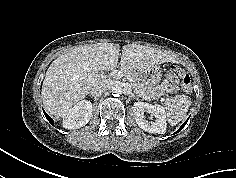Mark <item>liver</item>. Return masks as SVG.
<instances>
[{
    "label": "liver",
    "mask_w": 236,
    "mask_h": 178,
    "mask_svg": "<svg viewBox=\"0 0 236 178\" xmlns=\"http://www.w3.org/2000/svg\"><path fill=\"white\" fill-rule=\"evenodd\" d=\"M119 53L118 44L104 42L76 47L59 56L47 69L42 84L46 110L57 118L64 117L95 84H110L109 78L98 73L113 70L118 64L124 70L140 71L174 61L166 52L143 45H124L120 63Z\"/></svg>",
    "instance_id": "obj_1"
}]
</instances>
